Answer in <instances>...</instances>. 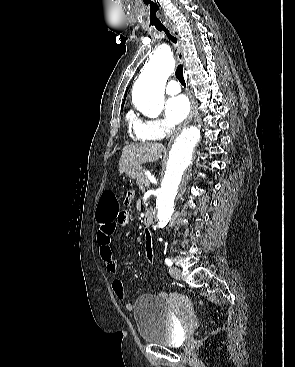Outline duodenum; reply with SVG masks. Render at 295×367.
Returning a JSON list of instances; mask_svg holds the SVG:
<instances>
[{
    "instance_id": "1",
    "label": "duodenum",
    "mask_w": 295,
    "mask_h": 367,
    "mask_svg": "<svg viewBox=\"0 0 295 367\" xmlns=\"http://www.w3.org/2000/svg\"><path fill=\"white\" fill-rule=\"evenodd\" d=\"M154 220V213L152 209H147L144 214V224L151 225Z\"/></svg>"
}]
</instances>
